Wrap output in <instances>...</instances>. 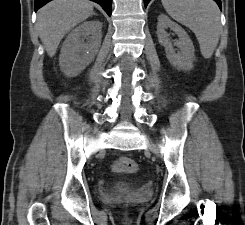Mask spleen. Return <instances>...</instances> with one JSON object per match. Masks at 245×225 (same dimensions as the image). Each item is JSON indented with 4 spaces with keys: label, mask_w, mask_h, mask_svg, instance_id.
<instances>
[{
    "label": "spleen",
    "mask_w": 245,
    "mask_h": 225,
    "mask_svg": "<svg viewBox=\"0 0 245 225\" xmlns=\"http://www.w3.org/2000/svg\"><path fill=\"white\" fill-rule=\"evenodd\" d=\"M166 12L191 29L204 58H211L218 44L221 23L220 11L213 0H161Z\"/></svg>",
    "instance_id": "3e777b00"
}]
</instances>
